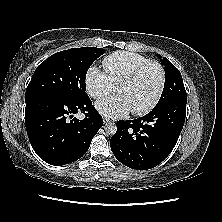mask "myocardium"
I'll return each mask as SVG.
<instances>
[{
  "label": "myocardium",
  "instance_id": "f54148a6",
  "mask_svg": "<svg viewBox=\"0 0 222 222\" xmlns=\"http://www.w3.org/2000/svg\"><path fill=\"white\" fill-rule=\"evenodd\" d=\"M150 65H154L158 68L159 73H160V83H159V87L158 90L156 92V94L154 95V97L151 99V101L149 103H147L145 106H143L142 108L139 109H135V110H131V112L135 115H143L148 113L150 110H152L155 105L158 103V101L160 100L163 91H164V87H165V82H166V73L164 70V67L162 66L161 63H159L158 61L155 60H148L140 65H138L130 74H128L117 86V90H119L122 86L130 84L131 82H133L138 75L147 67Z\"/></svg>",
  "mask_w": 222,
  "mask_h": 222
}]
</instances>
